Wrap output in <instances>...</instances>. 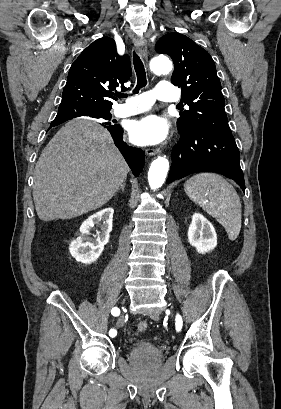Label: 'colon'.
I'll return each mask as SVG.
<instances>
[{"label": "colon", "mask_w": 281, "mask_h": 409, "mask_svg": "<svg viewBox=\"0 0 281 409\" xmlns=\"http://www.w3.org/2000/svg\"><path fill=\"white\" fill-rule=\"evenodd\" d=\"M135 330L138 333H145L149 330V324L148 322L144 320H139L135 323Z\"/></svg>", "instance_id": "5ec220e1"}]
</instances>
